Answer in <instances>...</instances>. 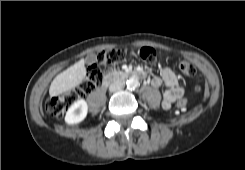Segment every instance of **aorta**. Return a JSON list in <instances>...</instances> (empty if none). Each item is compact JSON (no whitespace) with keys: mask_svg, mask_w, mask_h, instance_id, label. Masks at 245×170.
Listing matches in <instances>:
<instances>
[{"mask_svg":"<svg viewBox=\"0 0 245 170\" xmlns=\"http://www.w3.org/2000/svg\"><path fill=\"white\" fill-rule=\"evenodd\" d=\"M126 84L129 89H135L139 86V80L137 78L131 77L127 80Z\"/></svg>","mask_w":245,"mask_h":170,"instance_id":"aorta-1","label":"aorta"}]
</instances>
